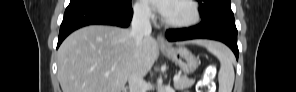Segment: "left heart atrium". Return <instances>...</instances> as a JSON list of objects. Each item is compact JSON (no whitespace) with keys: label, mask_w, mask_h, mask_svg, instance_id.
I'll return each instance as SVG.
<instances>
[{"label":"left heart atrium","mask_w":296,"mask_h":92,"mask_svg":"<svg viewBox=\"0 0 296 92\" xmlns=\"http://www.w3.org/2000/svg\"><path fill=\"white\" fill-rule=\"evenodd\" d=\"M148 3L152 4L154 8L162 14L164 17L168 14L170 10L171 2L165 0H149Z\"/></svg>","instance_id":"1"}]
</instances>
